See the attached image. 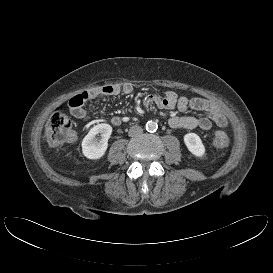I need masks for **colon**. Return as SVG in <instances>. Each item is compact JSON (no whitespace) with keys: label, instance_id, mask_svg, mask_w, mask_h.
<instances>
[{"label":"colon","instance_id":"1","mask_svg":"<svg viewBox=\"0 0 273 273\" xmlns=\"http://www.w3.org/2000/svg\"><path fill=\"white\" fill-rule=\"evenodd\" d=\"M88 94L86 92L74 96L70 102L73 106H81ZM45 139L52 146H58L70 141L76 137L73 124L69 116L60 110H55L50 116L46 128ZM212 142L214 146L226 149L231 145L229 137L222 131H217L213 135Z\"/></svg>","mask_w":273,"mask_h":273}]
</instances>
